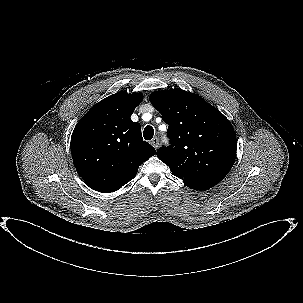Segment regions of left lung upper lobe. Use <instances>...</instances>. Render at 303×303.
Segmentation results:
<instances>
[{"label": "left lung upper lobe", "mask_w": 303, "mask_h": 303, "mask_svg": "<svg viewBox=\"0 0 303 303\" xmlns=\"http://www.w3.org/2000/svg\"><path fill=\"white\" fill-rule=\"evenodd\" d=\"M152 105L168 124L170 146L157 156L183 180L224 179L236 157L230 121L196 94L182 89L156 91Z\"/></svg>", "instance_id": "left-lung-upper-lobe-1"}]
</instances>
